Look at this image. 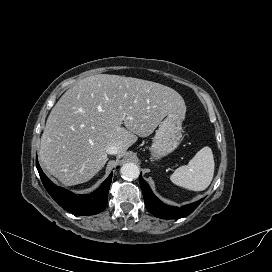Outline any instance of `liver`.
Returning <instances> with one entry per match:
<instances>
[{
    "label": "liver",
    "instance_id": "6515ba94",
    "mask_svg": "<svg viewBox=\"0 0 272 272\" xmlns=\"http://www.w3.org/2000/svg\"><path fill=\"white\" fill-rule=\"evenodd\" d=\"M169 113L183 119L186 113L183 98L170 87L119 75L86 77L51 110L40 163L66 186L87 182L108 160V146L117 145L122 158L138 136L151 135Z\"/></svg>",
    "mask_w": 272,
    "mask_h": 272
}]
</instances>
